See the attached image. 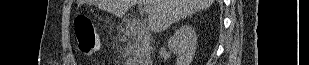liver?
<instances>
[{
	"label": "liver",
	"instance_id": "obj_1",
	"mask_svg": "<svg viewBox=\"0 0 309 65\" xmlns=\"http://www.w3.org/2000/svg\"><path fill=\"white\" fill-rule=\"evenodd\" d=\"M144 0H96L99 9L122 17L133 5ZM214 0H146L150 8L148 26L162 32L173 23L207 9Z\"/></svg>",
	"mask_w": 309,
	"mask_h": 65
}]
</instances>
